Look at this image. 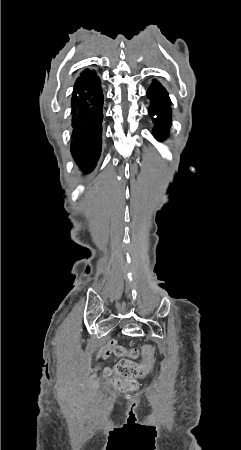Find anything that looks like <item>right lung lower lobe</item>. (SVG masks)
<instances>
[{
	"instance_id": "right-lung-lower-lobe-1",
	"label": "right lung lower lobe",
	"mask_w": 241,
	"mask_h": 450,
	"mask_svg": "<svg viewBox=\"0 0 241 450\" xmlns=\"http://www.w3.org/2000/svg\"><path fill=\"white\" fill-rule=\"evenodd\" d=\"M104 95L94 70L85 69L77 78L71 99V152L85 173L94 169L102 145Z\"/></svg>"
}]
</instances>
